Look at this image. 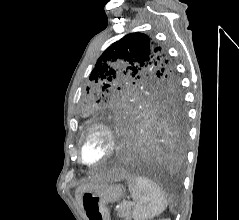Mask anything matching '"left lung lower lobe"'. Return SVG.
I'll return each mask as SVG.
<instances>
[{"instance_id":"left-lung-lower-lobe-1","label":"left lung lower lobe","mask_w":239,"mask_h":220,"mask_svg":"<svg viewBox=\"0 0 239 220\" xmlns=\"http://www.w3.org/2000/svg\"><path fill=\"white\" fill-rule=\"evenodd\" d=\"M97 121L111 126L118 137V164H168L183 160L185 111L123 112L112 110Z\"/></svg>"}]
</instances>
